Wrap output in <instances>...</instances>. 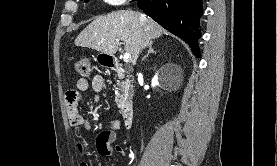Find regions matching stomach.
Segmentation results:
<instances>
[{"mask_svg": "<svg viewBox=\"0 0 277 166\" xmlns=\"http://www.w3.org/2000/svg\"><path fill=\"white\" fill-rule=\"evenodd\" d=\"M111 55H108L105 54V53H99L97 56H96V61L97 63L100 65V66H108L110 61L112 60V57H109Z\"/></svg>", "mask_w": 277, "mask_h": 166, "instance_id": "obj_1", "label": "stomach"}]
</instances>
